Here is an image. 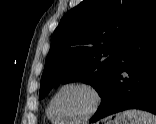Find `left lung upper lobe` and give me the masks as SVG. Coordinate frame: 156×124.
<instances>
[{
  "mask_svg": "<svg viewBox=\"0 0 156 124\" xmlns=\"http://www.w3.org/2000/svg\"><path fill=\"white\" fill-rule=\"evenodd\" d=\"M156 0H83L61 19L41 77L39 99L60 82L82 81L103 95L119 58Z\"/></svg>",
  "mask_w": 156,
  "mask_h": 124,
  "instance_id": "5c2ea615",
  "label": "left lung upper lobe"
}]
</instances>
